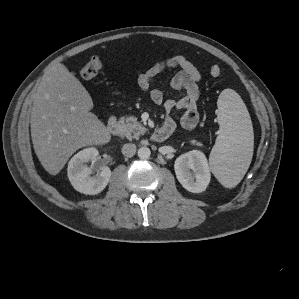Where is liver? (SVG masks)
<instances>
[{
	"instance_id": "6515ba94",
	"label": "liver",
	"mask_w": 299,
	"mask_h": 299,
	"mask_svg": "<svg viewBox=\"0 0 299 299\" xmlns=\"http://www.w3.org/2000/svg\"><path fill=\"white\" fill-rule=\"evenodd\" d=\"M92 108L90 94L63 64L46 71L33 98L30 126L34 151L49 174L57 175L79 148L110 141Z\"/></svg>"
}]
</instances>
